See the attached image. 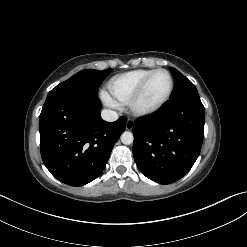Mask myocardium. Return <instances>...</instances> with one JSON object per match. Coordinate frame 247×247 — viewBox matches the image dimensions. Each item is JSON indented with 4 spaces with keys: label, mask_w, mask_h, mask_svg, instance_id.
Instances as JSON below:
<instances>
[{
    "label": "myocardium",
    "mask_w": 247,
    "mask_h": 247,
    "mask_svg": "<svg viewBox=\"0 0 247 247\" xmlns=\"http://www.w3.org/2000/svg\"><path fill=\"white\" fill-rule=\"evenodd\" d=\"M160 72L165 73L169 78V88H168L166 95L158 103H156L152 106L141 107L139 105V102H140V99L142 98L143 94L145 93V90H146L150 80L152 79V77L155 74L160 73ZM173 89H174V80H173L171 73L168 70L163 69V68L155 69L150 74H148L144 78V80L140 83V85L138 86L136 91L131 96V98L128 102V106H129L131 112L136 116L151 115V114L157 112L159 109H161L168 102V100L170 99V97L172 95Z\"/></svg>",
    "instance_id": "obj_1"
}]
</instances>
